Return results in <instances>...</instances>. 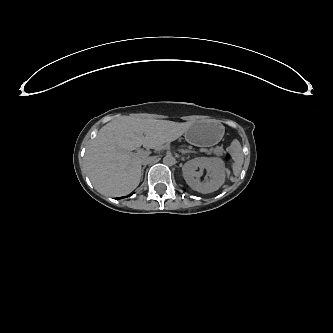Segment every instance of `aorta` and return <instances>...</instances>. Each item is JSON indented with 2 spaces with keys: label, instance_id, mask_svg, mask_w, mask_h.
Listing matches in <instances>:
<instances>
[{
  "label": "aorta",
  "instance_id": "obj_1",
  "mask_svg": "<svg viewBox=\"0 0 333 333\" xmlns=\"http://www.w3.org/2000/svg\"><path fill=\"white\" fill-rule=\"evenodd\" d=\"M163 163L166 166H173L176 164V158L172 154H166V156L163 158Z\"/></svg>",
  "mask_w": 333,
  "mask_h": 333
}]
</instances>
